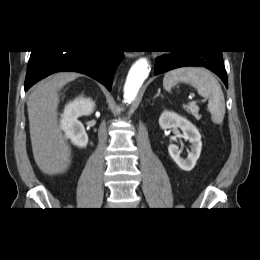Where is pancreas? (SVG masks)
<instances>
[{
    "label": "pancreas",
    "mask_w": 260,
    "mask_h": 260,
    "mask_svg": "<svg viewBox=\"0 0 260 260\" xmlns=\"http://www.w3.org/2000/svg\"><path fill=\"white\" fill-rule=\"evenodd\" d=\"M185 110L192 114L196 120H200L201 119V115H199V107L195 104H190V105H187L185 106Z\"/></svg>",
    "instance_id": "pancreas-1"
}]
</instances>
